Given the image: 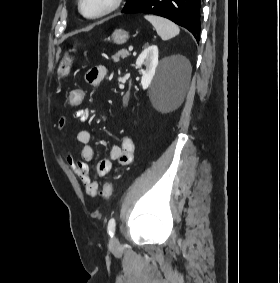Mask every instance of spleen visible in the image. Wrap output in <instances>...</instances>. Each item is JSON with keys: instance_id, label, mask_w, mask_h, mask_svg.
I'll return each mask as SVG.
<instances>
[{"instance_id": "1", "label": "spleen", "mask_w": 280, "mask_h": 283, "mask_svg": "<svg viewBox=\"0 0 280 283\" xmlns=\"http://www.w3.org/2000/svg\"><path fill=\"white\" fill-rule=\"evenodd\" d=\"M145 19L153 25L162 40H169L177 36L180 32L179 27L166 18L155 15H145Z\"/></svg>"}]
</instances>
